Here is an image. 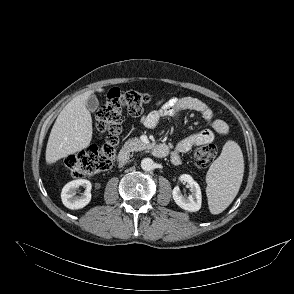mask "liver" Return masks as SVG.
I'll use <instances>...</instances> for the list:
<instances>
[{"instance_id":"liver-1","label":"liver","mask_w":294,"mask_h":294,"mask_svg":"<svg viewBox=\"0 0 294 294\" xmlns=\"http://www.w3.org/2000/svg\"><path fill=\"white\" fill-rule=\"evenodd\" d=\"M102 92V88L97 89ZM94 91L72 99L58 115L46 147L47 164L86 148L92 139V117L86 101Z\"/></svg>"}]
</instances>
